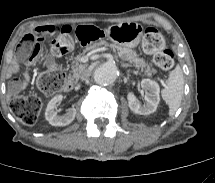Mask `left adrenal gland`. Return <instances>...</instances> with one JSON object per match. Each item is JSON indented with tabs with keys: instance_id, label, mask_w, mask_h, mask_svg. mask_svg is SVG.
Returning a JSON list of instances; mask_svg holds the SVG:
<instances>
[{
	"instance_id": "a2214340",
	"label": "left adrenal gland",
	"mask_w": 215,
	"mask_h": 183,
	"mask_svg": "<svg viewBox=\"0 0 215 183\" xmlns=\"http://www.w3.org/2000/svg\"><path fill=\"white\" fill-rule=\"evenodd\" d=\"M131 66L130 64H127V63H122V67H129Z\"/></svg>"
}]
</instances>
